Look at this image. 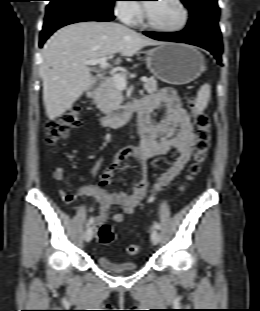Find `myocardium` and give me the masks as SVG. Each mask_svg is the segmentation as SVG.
<instances>
[{
    "label": "myocardium",
    "mask_w": 260,
    "mask_h": 311,
    "mask_svg": "<svg viewBox=\"0 0 260 311\" xmlns=\"http://www.w3.org/2000/svg\"><path fill=\"white\" fill-rule=\"evenodd\" d=\"M174 2L180 7L183 13V17L181 22L174 27H161L156 24H154L148 15L147 7L146 5H143L142 7V15H143V21L144 24L149 27L152 30L163 32V33H176L184 30L186 26L188 25L189 19H190V12L186 4L183 0H174Z\"/></svg>",
    "instance_id": "1"
}]
</instances>
